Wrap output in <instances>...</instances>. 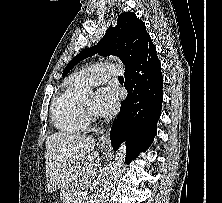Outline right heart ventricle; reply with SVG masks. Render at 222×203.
<instances>
[{"label":"right heart ventricle","instance_id":"1","mask_svg":"<svg viewBox=\"0 0 222 203\" xmlns=\"http://www.w3.org/2000/svg\"><path fill=\"white\" fill-rule=\"evenodd\" d=\"M82 84L69 78L60 93L54 98L51 107L54 126L65 134H79L87 127V118L80 94Z\"/></svg>","mask_w":222,"mask_h":203}]
</instances>
